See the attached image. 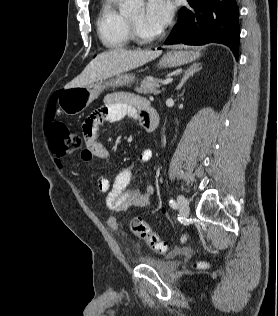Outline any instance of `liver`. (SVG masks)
Here are the masks:
<instances>
[{
    "instance_id": "6515ba94",
    "label": "liver",
    "mask_w": 278,
    "mask_h": 316,
    "mask_svg": "<svg viewBox=\"0 0 278 316\" xmlns=\"http://www.w3.org/2000/svg\"><path fill=\"white\" fill-rule=\"evenodd\" d=\"M160 50L127 51L115 49L97 55L83 70V72L65 85V89L85 87L92 83L102 81L138 68L161 55Z\"/></svg>"
}]
</instances>
